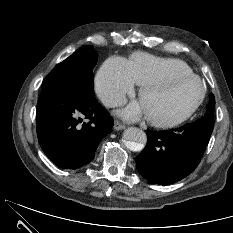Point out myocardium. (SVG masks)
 Returning a JSON list of instances; mask_svg holds the SVG:
<instances>
[{"instance_id": "f54148a6", "label": "myocardium", "mask_w": 233, "mask_h": 233, "mask_svg": "<svg viewBox=\"0 0 233 233\" xmlns=\"http://www.w3.org/2000/svg\"><path fill=\"white\" fill-rule=\"evenodd\" d=\"M188 79L196 80L200 85L201 93H200L198 100L185 114H183L182 116H180L176 119L160 120V119H155V118H152V117L146 115L147 120L153 126L158 127V128H174V127H177V126L182 125L183 123L187 122L198 111V109L203 104L205 97H206V87H205V84L203 83L202 79L194 73L179 74V75H172V76H162V77L147 81L140 86L139 92H138L139 99H141L142 95L147 90L158 89V88H161L163 86H166V85H169V84H172L175 82H179L182 80H188Z\"/></svg>"}]
</instances>
